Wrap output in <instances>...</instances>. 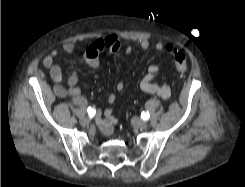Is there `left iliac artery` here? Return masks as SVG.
Instances as JSON below:
<instances>
[{"label":"left iliac artery","instance_id":"obj_1","mask_svg":"<svg viewBox=\"0 0 245 187\" xmlns=\"http://www.w3.org/2000/svg\"><path fill=\"white\" fill-rule=\"evenodd\" d=\"M141 117H142L144 120H148L149 117H150V115H149L148 112H142V113H141Z\"/></svg>","mask_w":245,"mask_h":187}]
</instances>
